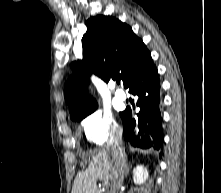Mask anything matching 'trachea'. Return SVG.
I'll use <instances>...</instances> for the list:
<instances>
[{
    "instance_id": "3493384b",
    "label": "trachea",
    "mask_w": 221,
    "mask_h": 193,
    "mask_svg": "<svg viewBox=\"0 0 221 193\" xmlns=\"http://www.w3.org/2000/svg\"><path fill=\"white\" fill-rule=\"evenodd\" d=\"M117 83L119 84V83H120V80H117Z\"/></svg>"
}]
</instances>
